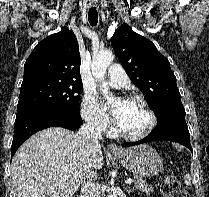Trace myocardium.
<instances>
[{
	"label": "myocardium",
	"instance_id": "myocardium-1",
	"mask_svg": "<svg viewBox=\"0 0 209 197\" xmlns=\"http://www.w3.org/2000/svg\"><path fill=\"white\" fill-rule=\"evenodd\" d=\"M130 100L134 101V102H138L143 106V108L146 110V112L148 114V118H149L148 124L146 125V127L142 131H140L138 133L125 132L124 130H122L118 126L117 133L121 137H123L127 140L138 141V140H142V139L146 138L153 131V129L155 128L156 123H157V117H156V114L153 111V109L149 106L147 101L142 96L135 95V96H132L130 98Z\"/></svg>",
	"mask_w": 209,
	"mask_h": 197
}]
</instances>
